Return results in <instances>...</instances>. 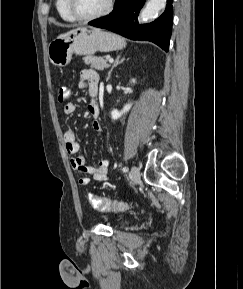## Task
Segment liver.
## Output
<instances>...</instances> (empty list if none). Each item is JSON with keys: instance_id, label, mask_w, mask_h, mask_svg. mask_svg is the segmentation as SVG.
<instances>
[{"instance_id": "obj_1", "label": "liver", "mask_w": 243, "mask_h": 289, "mask_svg": "<svg viewBox=\"0 0 243 289\" xmlns=\"http://www.w3.org/2000/svg\"><path fill=\"white\" fill-rule=\"evenodd\" d=\"M65 35H66V34H61V35L58 36V38L63 37V36H65Z\"/></svg>"}]
</instances>
